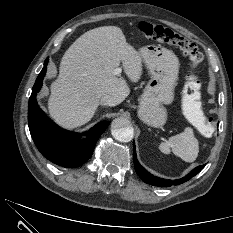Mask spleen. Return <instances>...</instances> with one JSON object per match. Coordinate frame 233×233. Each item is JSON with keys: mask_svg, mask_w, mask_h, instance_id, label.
<instances>
[{"mask_svg": "<svg viewBox=\"0 0 233 233\" xmlns=\"http://www.w3.org/2000/svg\"><path fill=\"white\" fill-rule=\"evenodd\" d=\"M200 119V115L196 116ZM161 152L169 154L171 151L185 162H194L198 156L199 144L190 127H186L180 134L171 136L159 145Z\"/></svg>", "mask_w": 233, "mask_h": 233, "instance_id": "1", "label": "spleen"}]
</instances>
